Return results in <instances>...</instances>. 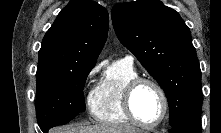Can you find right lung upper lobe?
Instances as JSON below:
<instances>
[{
	"mask_svg": "<svg viewBox=\"0 0 221 133\" xmlns=\"http://www.w3.org/2000/svg\"><path fill=\"white\" fill-rule=\"evenodd\" d=\"M108 32V12L91 0H71L47 31L37 71L96 62Z\"/></svg>",
	"mask_w": 221,
	"mask_h": 133,
	"instance_id": "obj_1",
	"label": "right lung upper lobe"
}]
</instances>
